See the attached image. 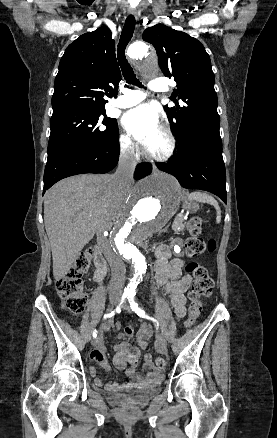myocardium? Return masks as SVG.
Listing matches in <instances>:
<instances>
[{"instance_id": "myocardium-1", "label": "myocardium", "mask_w": 277, "mask_h": 438, "mask_svg": "<svg viewBox=\"0 0 277 438\" xmlns=\"http://www.w3.org/2000/svg\"><path fill=\"white\" fill-rule=\"evenodd\" d=\"M159 131H161L166 136L168 140V149L165 154L161 156L150 155L146 151H143L144 155L152 162H166L171 159L176 150V138L172 130L167 126L162 125L159 127Z\"/></svg>"}]
</instances>
